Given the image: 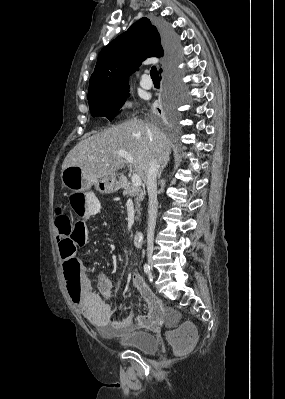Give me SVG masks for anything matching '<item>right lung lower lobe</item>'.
Returning <instances> with one entry per match:
<instances>
[{"label":"right lung lower lobe","instance_id":"obj_1","mask_svg":"<svg viewBox=\"0 0 285 399\" xmlns=\"http://www.w3.org/2000/svg\"><path fill=\"white\" fill-rule=\"evenodd\" d=\"M159 31L162 37V43L163 47L165 49L166 56L169 61V67L168 70L172 75V78L176 80L178 78L177 71L175 68V63H176V50H177V42L176 39L174 38V35L169 28L168 25L162 24L159 27ZM162 72V69L160 73Z\"/></svg>","mask_w":285,"mask_h":399}]
</instances>
